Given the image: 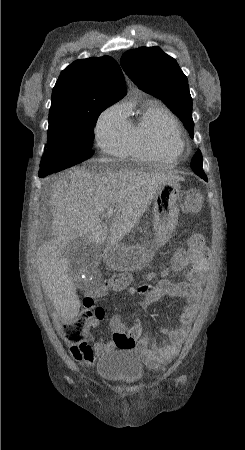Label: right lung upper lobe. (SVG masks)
<instances>
[{
    "label": "right lung upper lobe",
    "mask_w": 245,
    "mask_h": 450,
    "mask_svg": "<svg viewBox=\"0 0 245 450\" xmlns=\"http://www.w3.org/2000/svg\"><path fill=\"white\" fill-rule=\"evenodd\" d=\"M125 95L123 73L112 57L76 60L61 72L53 88L49 116L89 111L95 104H114Z\"/></svg>",
    "instance_id": "1"
}]
</instances>
